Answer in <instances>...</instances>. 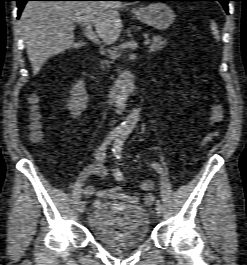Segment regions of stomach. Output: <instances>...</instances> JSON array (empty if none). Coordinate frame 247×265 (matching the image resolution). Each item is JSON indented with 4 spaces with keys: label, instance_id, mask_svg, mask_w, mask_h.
<instances>
[{
    "label": "stomach",
    "instance_id": "0dacf381",
    "mask_svg": "<svg viewBox=\"0 0 247 265\" xmlns=\"http://www.w3.org/2000/svg\"><path fill=\"white\" fill-rule=\"evenodd\" d=\"M135 14L140 21L158 30L168 28L176 17L172 8L161 2L152 3L141 8Z\"/></svg>",
    "mask_w": 247,
    "mask_h": 265
}]
</instances>
